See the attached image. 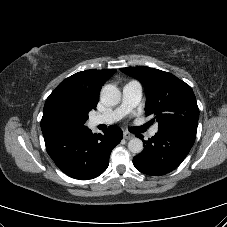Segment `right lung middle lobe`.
Segmentation results:
<instances>
[{
    "instance_id": "right-lung-middle-lobe-1",
    "label": "right lung middle lobe",
    "mask_w": 227,
    "mask_h": 227,
    "mask_svg": "<svg viewBox=\"0 0 227 227\" xmlns=\"http://www.w3.org/2000/svg\"><path fill=\"white\" fill-rule=\"evenodd\" d=\"M88 112L67 100L56 98L45 104L41 120L42 132L78 131L86 128Z\"/></svg>"
}]
</instances>
